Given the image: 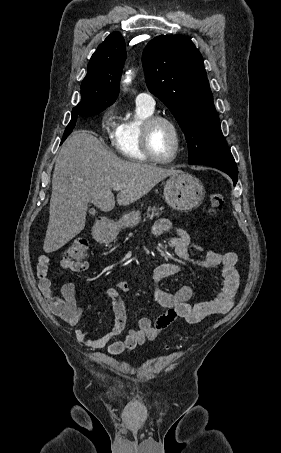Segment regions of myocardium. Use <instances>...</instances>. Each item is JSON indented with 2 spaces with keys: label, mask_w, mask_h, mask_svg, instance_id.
<instances>
[{
  "label": "myocardium",
  "mask_w": 281,
  "mask_h": 453,
  "mask_svg": "<svg viewBox=\"0 0 281 453\" xmlns=\"http://www.w3.org/2000/svg\"><path fill=\"white\" fill-rule=\"evenodd\" d=\"M164 124L166 125L174 136V145H173V152L170 157L166 159L159 158L153 148V135L156 128ZM181 133L178 129L177 125L170 119L163 117V116H153L147 119L144 122L143 130H142V147L145 155L150 158L151 160L160 163V164H168L173 162L179 153L180 144H181Z\"/></svg>",
  "instance_id": "f54148a6"
}]
</instances>
